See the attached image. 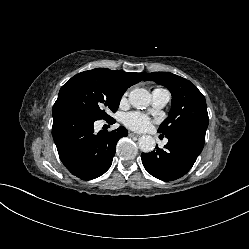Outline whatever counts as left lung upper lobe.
I'll list each match as a JSON object with an SVG mask.
<instances>
[{
    "label": "left lung upper lobe",
    "mask_w": 249,
    "mask_h": 249,
    "mask_svg": "<svg viewBox=\"0 0 249 249\" xmlns=\"http://www.w3.org/2000/svg\"><path fill=\"white\" fill-rule=\"evenodd\" d=\"M145 80L167 87L172 94L171 110L160 125L159 133L169 135L186 129L207 130L206 100L194 84L170 72L149 73Z\"/></svg>",
    "instance_id": "5c2ea615"
}]
</instances>
